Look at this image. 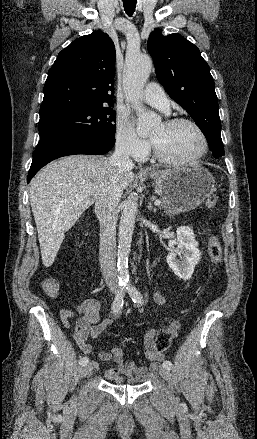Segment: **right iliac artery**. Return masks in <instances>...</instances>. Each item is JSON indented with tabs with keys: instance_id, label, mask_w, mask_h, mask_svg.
<instances>
[{
	"instance_id": "obj_1",
	"label": "right iliac artery",
	"mask_w": 257,
	"mask_h": 439,
	"mask_svg": "<svg viewBox=\"0 0 257 439\" xmlns=\"http://www.w3.org/2000/svg\"><path fill=\"white\" fill-rule=\"evenodd\" d=\"M123 291H124V286L121 285L119 290H118V292H117V294H116V297L114 299V302H113L112 308H111L112 312L115 313V314L120 312V310L122 309L123 302H124L123 301V298H124V292ZM88 362H89V359L86 356L81 357L80 360H79V364L82 365V366H84Z\"/></svg>"
}]
</instances>
